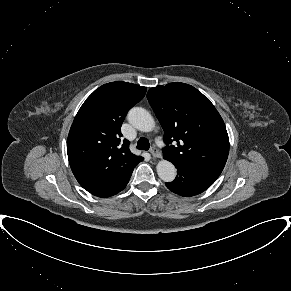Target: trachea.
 <instances>
[{
	"mask_svg": "<svg viewBox=\"0 0 291 291\" xmlns=\"http://www.w3.org/2000/svg\"><path fill=\"white\" fill-rule=\"evenodd\" d=\"M149 147H150V143L146 138L141 137L138 140L137 149L147 151L149 149Z\"/></svg>",
	"mask_w": 291,
	"mask_h": 291,
	"instance_id": "3493384b",
	"label": "trachea"
}]
</instances>
